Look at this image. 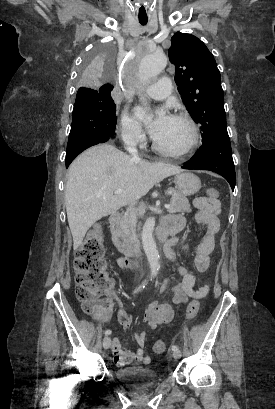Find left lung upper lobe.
<instances>
[{
	"instance_id": "left-lung-upper-lobe-1",
	"label": "left lung upper lobe",
	"mask_w": 275,
	"mask_h": 409,
	"mask_svg": "<svg viewBox=\"0 0 275 409\" xmlns=\"http://www.w3.org/2000/svg\"><path fill=\"white\" fill-rule=\"evenodd\" d=\"M169 59L175 65V82L191 117L201 124L202 144L229 138L221 76L213 54L191 34L171 38Z\"/></svg>"
}]
</instances>
